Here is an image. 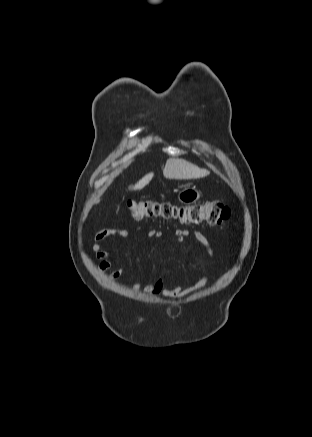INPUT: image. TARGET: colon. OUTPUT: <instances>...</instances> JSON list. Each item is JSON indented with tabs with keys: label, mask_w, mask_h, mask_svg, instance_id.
<instances>
[{
	"label": "colon",
	"mask_w": 312,
	"mask_h": 437,
	"mask_svg": "<svg viewBox=\"0 0 312 437\" xmlns=\"http://www.w3.org/2000/svg\"><path fill=\"white\" fill-rule=\"evenodd\" d=\"M127 206L132 219L136 221L159 217L178 220L185 224L206 222L210 225L224 226L230 222L229 209L219 201L178 206L167 201L133 199L128 201Z\"/></svg>",
	"instance_id": "obj_1"
}]
</instances>
